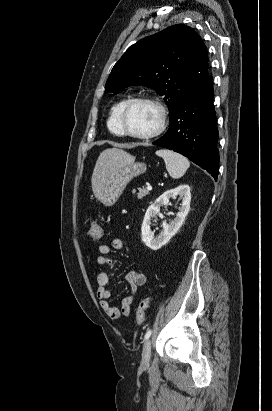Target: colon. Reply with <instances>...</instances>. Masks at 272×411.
I'll return each instance as SVG.
<instances>
[{
    "label": "colon",
    "instance_id": "5ec220e1",
    "mask_svg": "<svg viewBox=\"0 0 272 411\" xmlns=\"http://www.w3.org/2000/svg\"><path fill=\"white\" fill-rule=\"evenodd\" d=\"M103 233L102 226L97 219L91 221L89 230H88V237L91 241H98ZM151 303V298L143 299L136 310V321L138 325H142L145 319V314L147 309L149 308Z\"/></svg>",
    "mask_w": 272,
    "mask_h": 411
}]
</instances>
